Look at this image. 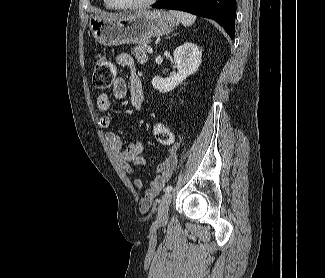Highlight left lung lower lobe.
Listing matches in <instances>:
<instances>
[{"label": "left lung lower lobe", "instance_id": "0a47b994", "mask_svg": "<svg viewBox=\"0 0 325 278\" xmlns=\"http://www.w3.org/2000/svg\"><path fill=\"white\" fill-rule=\"evenodd\" d=\"M152 7L186 11L212 19L234 38L236 0H159Z\"/></svg>", "mask_w": 325, "mask_h": 278}]
</instances>
